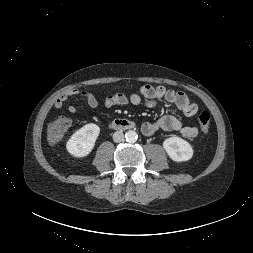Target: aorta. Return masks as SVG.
<instances>
[{"label":"aorta","instance_id":"aorta-1","mask_svg":"<svg viewBox=\"0 0 253 253\" xmlns=\"http://www.w3.org/2000/svg\"><path fill=\"white\" fill-rule=\"evenodd\" d=\"M125 138L128 142H135L138 138V134L134 130H129L125 133Z\"/></svg>","mask_w":253,"mask_h":253}]
</instances>
